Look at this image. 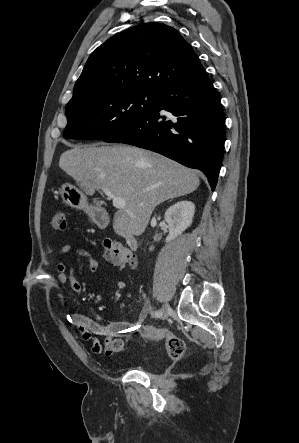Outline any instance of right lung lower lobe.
Here are the masks:
<instances>
[{"instance_id": "1", "label": "right lung lower lobe", "mask_w": 299, "mask_h": 443, "mask_svg": "<svg viewBox=\"0 0 299 443\" xmlns=\"http://www.w3.org/2000/svg\"><path fill=\"white\" fill-rule=\"evenodd\" d=\"M103 141L148 149L200 169L214 190L225 141L220 98L203 69L161 88L149 112Z\"/></svg>"}]
</instances>
